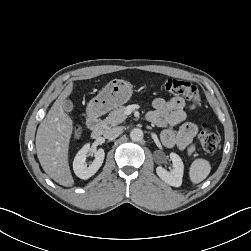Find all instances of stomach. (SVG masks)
<instances>
[{
    "label": "stomach",
    "instance_id": "0dacf381",
    "mask_svg": "<svg viewBox=\"0 0 251 251\" xmlns=\"http://www.w3.org/2000/svg\"><path fill=\"white\" fill-rule=\"evenodd\" d=\"M132 93V85L129 82L123 79H113L90 100L87 113L90 116L104 114L129 101Z\"/></svg>",
    "mask_w": 251,
    "mask_h": 251
}]
</instances>
